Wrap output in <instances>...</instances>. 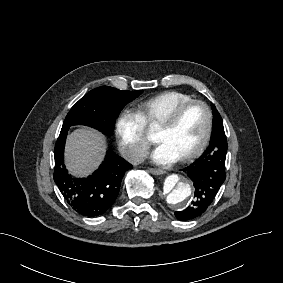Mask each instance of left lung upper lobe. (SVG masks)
<instances>
[{
    "label": "left lung upper lobe",
    "mask_w": 283,
    "mask_h": 283,
    "mask_svg": "<svg viewBox=\"0 0 283 283\" xmlns=\"http://www.w3.org/2000/svg\"><path fill=\"white\" fill-rule=\"evenodd\" d=\"M212 107V113H213V119L217 120V121H222V118L218 112V110L216 109L214 104H211Z\"/></svg>",
    "instance_id": "left-lung-upper-lobe-1"
}]
</instances>
